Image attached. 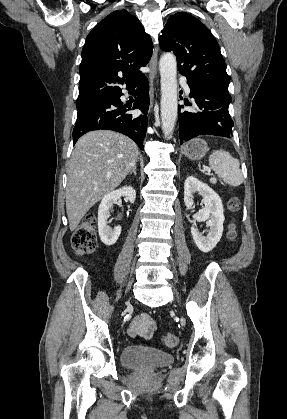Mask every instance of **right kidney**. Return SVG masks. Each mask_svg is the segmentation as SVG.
<instances>
[{"mask_svg":"<svg viewBox=\"0 0 287 419\" xmlns=\"http://www.w3.org/2000/svg\"><path fill=\"white\" fill-rule=\"evenodd\" d=\"M122 196L129 200L130 203H134L136 199V191L131 186H124L105 195L99 205L98 232L101 241L106 246L115 244L121 234V226H115L112 229L107 225V220L110 217V209L113 208V205Z\"/></svg>","mask_w":287,"mask_h":419,"instance_id":"right-kidney-1","label":"right kidney"}]
</instances>
